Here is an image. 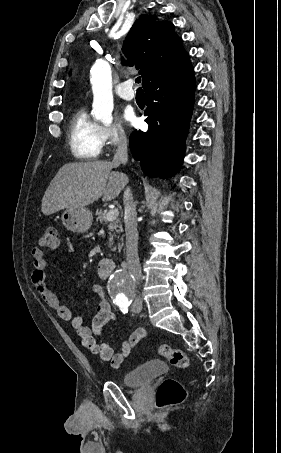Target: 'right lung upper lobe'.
I'll list each match as a JSON object with an SVG mask.
<instances>
[{"label": "right lung upper lobe", "instance_id": "obj_1", "mask_svg": "<svg viewBox=\"0 0 281 453\" xmlns=\"http://www.w3.org/2000/svg\"><path fill=\"white\" fill-rule=\"evenodd\" d=\"M129 65L139 69L143 82L185 52L182 39L169 21L143 14L130 29L123 46Z\"/></svg>", "mask_w": 281, "mask_h": 453}]
</instances>
